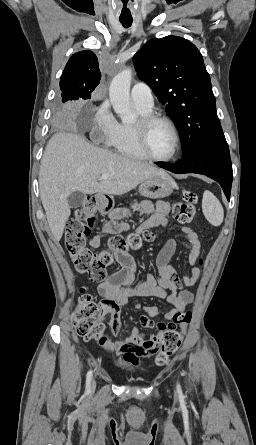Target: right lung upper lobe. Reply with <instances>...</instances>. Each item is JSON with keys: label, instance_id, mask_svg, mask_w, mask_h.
<instances>
[{"label": "right lung upper lobe", "instance_id": "right-lung-upper-lobe-1", "mask_svg": "<svg viewBox=\"0 0 256 445\" xmlns=\"http://www.w3.org/2000/svg\"><path fill=\"white\" fill-rule=\"evenodd\" d=\"M101 79L98 59L87 50L73 54L60 78L62 94L78 99L90 98Z\"/></svg>", "mask_w": 256, "mask_h": 445}]
</instances>
